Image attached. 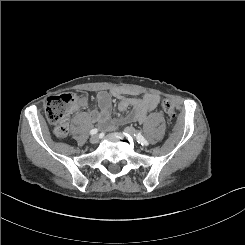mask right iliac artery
Instances as JSON below:
<instances>
[{
  "instance_id": "obj_1",
  "label": "right iliac artery",
  "mask_w": 245,
  "mask_h": 245,
  "mask_svg": "<svg viewBox=\"0 0 245 245\" xmlns=\"http://www.w3.org/2000/svg\"><path fill=\"white\" fill-rule=\"evenodd\" d=\"M97 132H98V129L95 128V129H92V130L90 131V134H91V135H94V134H96Z\"/></svg>"
}]
</instances>
